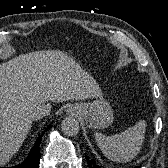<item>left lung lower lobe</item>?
I'll list each match as a JSON object with an SVG mask.
<instances>
[{"label":"left lung lower lobe","mask_w":168,"mask_h":168,"mask_svg":"<svg viewBox=\"0 0 168 168\" xmlns=\"http://www.w3.org/2000/svg\"><path fill=\"white\" fill-rule=\"evenodd\" d=\"M85 157H86L87 164H88L89 168H101L99 165H97V163L95 162L94 159H91L88 156H85ZM135 168H139V166L135 167Z\"/></svg>","instance_id":"1"}]
</instances>
